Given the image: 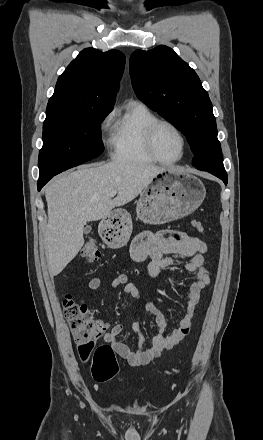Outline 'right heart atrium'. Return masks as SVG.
Segmentation results:
<instances>
[{
    "mask_svg": "<svg viewBox=\"0 0 263 440\" xmlns=\"http://www.w3.org/2000/svg\"><path fill=\"white\" fill-rule=\"evenodd\" d=\"M114 118V112L111 111L108 114L105 115L101 122V133L104 137H107L111 134V123ZM106 144H111V139L106 140Z\"/></svg>",
    "mask_w": 263,
    "mask_h": 440,
    "instance_id": "obj_1",
    "label": "right heart atrium"
}]
</instances>
